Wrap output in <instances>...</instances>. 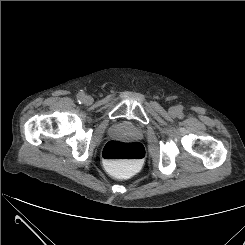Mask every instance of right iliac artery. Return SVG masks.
<instances>
[{"mask_svg": "<svg viewBox=\"0 0 245 245\" xmlns=\"http://www.w3.org/2000/svg\"><path fill=\"white\" fill-rule=\"evenodd\" d=\"M83 99H84V94H83V93H79V94L77 95V100H78L79 102H82Z\"/></svg>", "mask_w": 245, "mask_h": 245, "instance_id": "right-iliac-artery-1", "label": "right iliac artery"}]
</instances>
